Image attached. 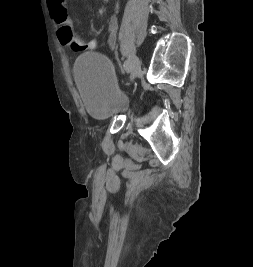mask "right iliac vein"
I'll list each match as a JSON object with an SVG mask.
<instances>
[{
    "instance_id": "63e3f726",
    "label": "right iliac vein",
    "mask_w": 253,
    "mask_h": 267,
    "mask_svg": "<svg viewBox=\"0 0 253 267\" xmlns=\"http://www.w3.org/2000/svg\"><path fill=\"white\" fill-rule=\"evenodd\" d=\"M130 72H131V79L133 80L140 71V61L136 55H133L130 59Z\"/></svg>"
}]
</instances>
